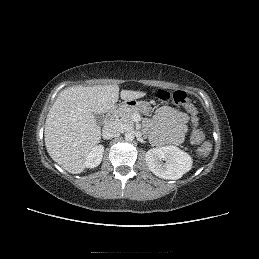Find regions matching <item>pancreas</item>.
<instances>
[{"label": "pancreas", "instance_id": "1", "mask_svg": "<svg viewBox=\"0 0 259 259\" xmlns=\"http://www.w3.org/2000/svg\"><path fill=\"white\" fill-rule=\"evenodd\" d=\"M135 113H138L136 109H131V108H119L115 114V121L119 123L120 125L126 126V127H133L134 122H133V115Z\"/></svg>", "mask_w": 259, "mask_h": 259}]
</instances>
